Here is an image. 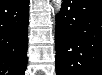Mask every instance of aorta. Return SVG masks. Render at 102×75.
I'll return each instance as SVG.
<instances>
[{"label":"aorta","mask_w":102,"mask_h":75,"mask_svg":"<svg viewBox=\"0 0 102 75\" xmlns=\"http://www.w3.org/2000/svg\"><path fill=\"white\" fill-rule=\"evenodd\" d=\"M54 2H55L56 8L59 9L61 7L62 1L61 0H54Z\"/></svg>","instance_id":"obj_1"}]
</instances>
